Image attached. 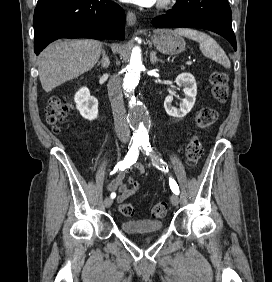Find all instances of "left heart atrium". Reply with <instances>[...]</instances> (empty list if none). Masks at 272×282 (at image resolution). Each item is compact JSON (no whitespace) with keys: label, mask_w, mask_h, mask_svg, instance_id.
I'll return each instance as SVG.
<instances>
[{"label":"left heart atrium","mask_w":272,"mask_h":282,"mask_svg":"<svg viewBox=\"0 0 272 282\" xmlns=\"http://www.w3.org/2000/svg\"><path fill=\"white\" fill-rule=\"evenodd\" d=\"M129 3L137 4L140 6H151L153 5L157 0H122Z\"/></svg>","instance_id":"left-heart-atrium-1"}]
</instances>
